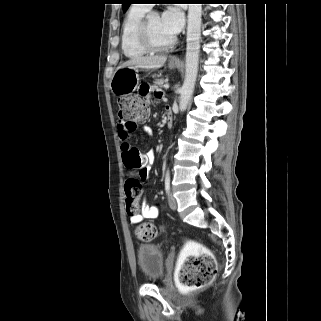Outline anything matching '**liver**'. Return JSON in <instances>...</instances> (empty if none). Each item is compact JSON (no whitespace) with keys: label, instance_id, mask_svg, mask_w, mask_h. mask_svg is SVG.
<instances>
[{"label":"liver","instance_id":"1","mask_svg":"<svg viewBox=\"0 0 321 321\" xmlns=\"http://www.w3.org/2000/svg\"><path fill=\"white\" fill-rule=\"evenodd\" d=\"M167 60V57L164 55L158 56H142V57H135L126 62H124L121 66L122 67H134V68H141L147 70H156L161 68Z\"/></svg>","mask_w":321,"mask_h":321}]
</instances>
